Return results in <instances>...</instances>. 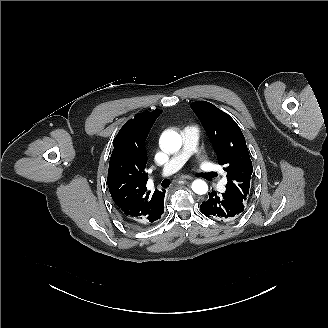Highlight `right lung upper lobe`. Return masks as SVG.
Returning <instances> with one entry per match:
<instances>
[{"instance_id": "obj_1", "label": "right lung upper lobe", "mask_w": 328, "mask_h": 328, "mask_svg": "<svg viewBox=\"0 0 328 328\" xmlns=\"http://www.w3.org/2000/svg\"><path fill=\"white\" fill-rule=\"evenodd\" d=\"M162 110L138 113L118 132L108 169V188L120 215L131 225L144 227L155 222L165 190L151 194L145 167V140Z\"/></svg>"}]
</instances>
